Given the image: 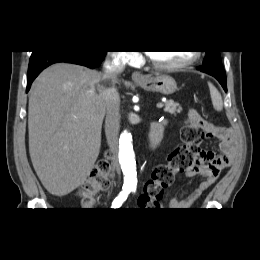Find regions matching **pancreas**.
I'll return each instance as SVG.
<instances>
[{
  "label": "pancreas",
  "instance_id": "pancreas-1",
  "mask_svg": "<svg viewBox=\"0 0 260 260\" xmlns=\"http://www.w3.org/2000/svg\"><path fill=\"white\" fill-rule=\"evenodd\" d=\"M182 108L179 106L178 103H175L172 100L165 102L164 112L176 115V113H180Z\"/></svg>",
  "mask_w": 260,
  "mask_h": 260
}]
</instances>
